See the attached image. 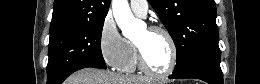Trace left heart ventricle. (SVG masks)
Listing matches in <instances>:
<instances>
[{"instance_id":"left-heart-ventricle-1","label":"left heart ventricle","mask_w":260,"mask_h":84,"mask_svg":"<svg viewBox=\"0 0 260 84\" xmlns=\"http://www.w3.org/2000/svg\"><path fill=\"white\" fill-rule=\"evenodd\" d=\"M136 43L141 47L147 65L154 71H165L170 62L171 50L166 37L159 32L144 30Z\"/></svg>"}]
</instances>
